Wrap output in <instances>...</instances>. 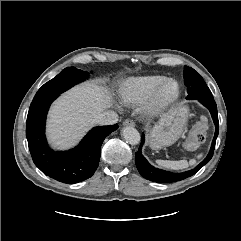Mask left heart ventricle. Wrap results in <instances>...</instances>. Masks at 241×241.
<instances>
[{"label": "left heart ventricle", "mask_w": 241, "mask_h": 241, "mask_svg": "<svg viewBox=\"0 0 241 241\" xmlns=\"http://www.w3.org/2000/svg\"><path fill=\"white\" fill-rule=\"evenodd\" d=\"M174 87L171 84H168L164 87L163 91H162V96L163 97H168L173 93Z\"/></svg>", "instance_id": "left-heart-ventricle-1"}]
</instances>
